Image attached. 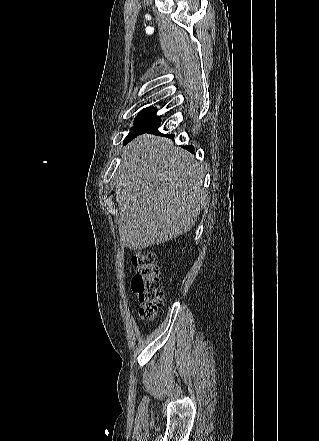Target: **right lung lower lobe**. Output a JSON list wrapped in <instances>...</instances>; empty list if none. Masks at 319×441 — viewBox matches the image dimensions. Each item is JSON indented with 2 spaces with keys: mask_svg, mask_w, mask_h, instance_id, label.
I'll use <instances>...</instances> for the list:
<instances>
[{
  "mask_svg": "<svg viewBox=\"0 0 319 441\" xmlns=\"http://www.w3.org/2000/svg\"><path fill=\"white\" fill-rule=\"evenodd\" d=\"M160 122H161L160 119L156 120L150 126L145 128L140 134H143V133H150V134H152L153 133V134L160 135V133L158 132V128H159ZM167 136L171 137V138L174 137V135H167ZM187 149L190 150L191 152H194V148L192 146H190V147L188 146Z\"/></svg>",
  "mask_w": 319,
  "mask_h": 441,
  "instance_id": "98d812e1",
  "label": "right lung lower lobe"
}]
</instances>
